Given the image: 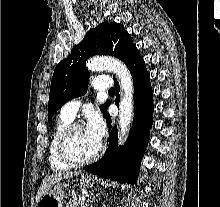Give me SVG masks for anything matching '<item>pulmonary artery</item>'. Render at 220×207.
Wrapping results in <instances>:
<instances>
[{"mask_svg":"<svg viewBox=\"0 0 220 207\" xmlns=\"http://www.w3.org/2000/svg\"><path fill=\"white\" fill-rule=\"evenodd\" d=\"M92 87L97 91L108 90L112 87V80L109 76H99L92 81ZM82 102V98H75L66 102L61 108V115L73 120Z\"/></svg>","mask_w":220,"mask_h":207,"instance_id":"pulmonary-artery-1","label":"pulmonary artery"}]
</instances>
